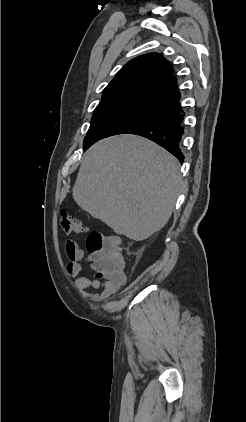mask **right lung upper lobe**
Masks as SVG:
<instances>
[{
    "label": "right lung upper lobe",
    "instance_id": "obj_1",
    "mask_svg": "<svg viewBox=\"0 0 246 422\" xmlns=\"http://www.w3.org/2000/svg\"><path fill=\"white\" fill-rule=\"evenodd\" d=\"M173 73L172 65L158 53L138 56L119 70L103 90L98 106L160 109L180 98L177 79Z\"/></svg>",
    "mask_w": 246,
    "mask_h": 422
}]
</instances>
